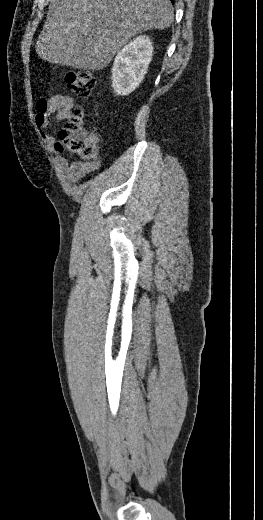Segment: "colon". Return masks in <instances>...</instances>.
<instances>
[{
	"instance_id": "colon-1",
	"label": "colon",
	"mask_w": 263,
	"mask_h": 520,
	"mask_svg": "<svg viewBox=\"0 0 263 520\" xmlns=\"http://www.w3.org/2000/svg\"><path fill=\"white\" fill-rule=\"evenodd\" d=\"M65 81L71 91L81 99L88 98L95 87V79L88 70L69 71ZM82 115L79 106L71 108L69 120L58 133L56 147L70 156L91 160L97 157L98 147L82 132Z\"/></svg>"
}]
</instances>
